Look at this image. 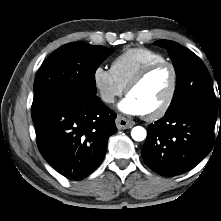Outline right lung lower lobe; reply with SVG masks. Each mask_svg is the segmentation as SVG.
<instances>
[{"mask_svg": "<svg viewBox=\"0 0 221 221\" xmlns=\"http://www.w3.org/2000/svg\"><path fill=\"white\" fill-rule=\"evenodd\" d=\"M115 118L97 96L61 98L33 119L38 149L61 175L81 180L103 160Z\"/></svg>", "mask_w": 221, "mask_h": 221, "instance_id": "obj_1", "label": "right lung lower lobe"}]
</instances>
